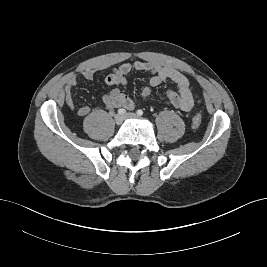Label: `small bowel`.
Listing matches in <instances>:
<instances>
[{
  "mask_svg": "<svg viewBox=\"0 0 267 267\" xmlns=\"http://www.w3.org/2000/svg\"><path fill=\"white\" fill-rule=\"evenodd\" d=\"M132 71L146 72L150 75L149 86L144 87L141 91L142 98L148 97L153 87L165 82H171L176 86L177 92L167 91L166 95L170 105L182 111H190L193 108L195 100L193 88L182 73L173 68L163 67L153 62L136 61L133 63H122L111 68L110 73L105 78V83L111 89L103 96L102 107L104 109L112 110L118 107H124L129 110L134 109V101L118 88L128 84L127 76ZM95 73V69H86L81 73V76L84 79L92 80ZM77 82L78 77L76 75L70 76L66 81L64 88L65 104L69 108L75 107L72 91ZM90 111L91 109L87 105L80 106L77 109V113L81 117L87 116Z\"/></svg>",
  "mask_w": 267,
  "mask_h": 267,
  "instance_id": "small-bowel-1",
  "label": "small bowel"
}]
</instances>
